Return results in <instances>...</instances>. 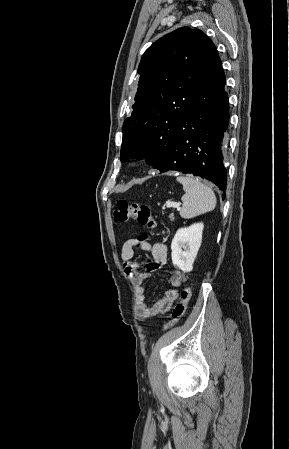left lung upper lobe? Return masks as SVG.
<instances>
[{
    "label": "left lung upper lobe",
    "mask_w": 289,
    "mask_h": 449,
    "mask_svg": "<svg viewBox=\"0 0 289 449\" xmlns=\"http://www.w3.org/2000/svg\"><path fill=\"white\" fill-rule=\"evenodd\" d=\"M217 55L208 36L189 27L163 36L145 51L133 112L122 127L121 161L145 158L156 168L166 158L175 126L190 110Z\"/></svg>",
    "instance_id": "left-lung-upper-lobe-1"
}]
</instances>
